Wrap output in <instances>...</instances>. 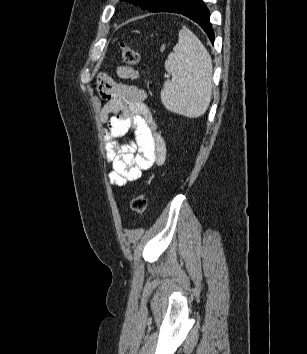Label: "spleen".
Wrapping results in <instances>:
<instances>
[{
	"label": "spleen",
	"mask_w": 307,
	"mask_h": 354,
	"mask_svg": "<svg viewBox=\"0 0 307 354\" xmlns=\"http://www.w3.org/2000/svg\"><path fill=\"white\" fill-rule=\"evenodd\" d=\"M212 60L202 42L186 27L165 61L172 75L161 90V101L171 112L189 117L202 116L212 97Z\"/></svg>",
	"instance_id": "spleen-1"
}]
</instances>
